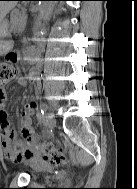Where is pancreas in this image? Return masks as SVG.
<instances>
[{
    "mask_svg": "<svg viewBox=\"0 0 137 189\" xmlns=\"http://www.w3.org/2000/svg\"><path fill=\"white\" fill-rule=\"evenodd\" d=\"M25 20L24 11L20 9H14L11 12V23L14 26H19V24H22Z\"/></svg>",
    "mask_w": 137,
    "mask_h": 189,
    "instance_id": "1",
    "label": "pancreas"
}]
</instances>
